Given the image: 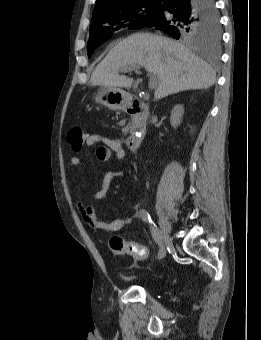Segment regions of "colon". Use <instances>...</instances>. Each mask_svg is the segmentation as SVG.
Segmentation results:
<instances>
[{"instance_id":"colon-1","label":"colon","mask_w":261,"mask_h":340,"mask_svg":"<svg viewBox=\"0 0 261 340\" xmlns=\"http://www.w3.org/2000/svg\"><path fill=\"white\" fill-rule=\"evenodd\" d=\"M86 133L80 126H74L70 129L67 139L72 148L80 150L84 145ZM111 251L116 255L131 256L136 260L143 261L149 257L148 249L133 241H126L120 236H113L109 241Z\"/></svg>"}]
</instances>
